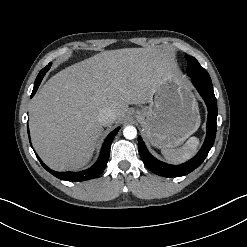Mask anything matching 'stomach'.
<instances>
[{
  "instance_id": "0dacf381",
  "label": "stomach",
  "mask_w": 247,
  "mask_h": 247,
  "mask_svg": "<svg viewBox=\"0 0 247 247\" xmlns=\"http://www.w3.org/2000/svg\"><path fill=\"white\" fill-rule=\"evenodd\" d=\"M148 104L133 115L155 147H177L200 125L198 103L190 84L172 70L160 79Z\"/></svg>"
}]
</instances>
